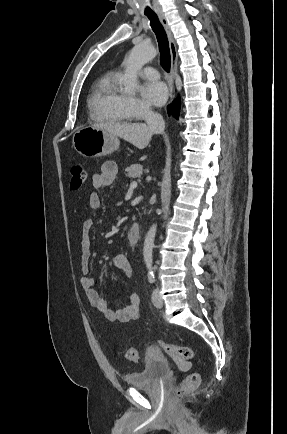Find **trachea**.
Segmentation results:
<instances>
[{"label": "trachea", "instance_id": "1", "mask_svg": "<svg viewBox=\"0 0 287 434\" xmlns=\"http://www.w3.org/2000/svg\"><path fill=\"white\" fill-rule=\"evenodd\" d=\"M150 20L152 30L156 34L159 51H160V64L166 72H170L171 68V54L169 48L168 37L166 31L159 21L158 16L155 13L146 14Z\"/></svg>", "mask_w": 287, "mask_h": 434}]
</instances>
